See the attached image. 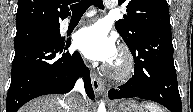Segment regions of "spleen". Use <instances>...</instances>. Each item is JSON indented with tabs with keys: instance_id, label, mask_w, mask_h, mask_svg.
Returning <instances> with one entry per match:
<instances>
[{
	"instance_id": "obj_1",
	"label": "spleen",
	"mask_w": 193,
	"mask_h": 112,
	"mask_svg": "<svg viewBox=\"0 0 193 112\" xmlns=\"http://www.w3.org/2000/svg\"><path fill=\"white\" fill-rule=\"evenodd\" d=\"M144 106L149 112H164L162 108L154 103L147 102L144 104Z\"/></svg>"
}]
</instances>
